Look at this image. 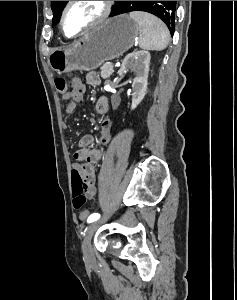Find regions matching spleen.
Masks as SVG:
<instances>
[{
    "mask_svg": "<svg viewBox=\"0 0 237 300\" xmlns=\"http://www.w3.org/2000/svg\"><path fill=\"white\" fill-rule=\"evenodd\" d=\"M137 23L141 35L140 49L145 51H163L169 45L170 33L163 21L142 11H133L129 15Z\"/></svg>",
    "mask_w": 237,
    "mask_h": 300,
    "instance_id": "1",
    "label": "spleen"
}]
</instances>
